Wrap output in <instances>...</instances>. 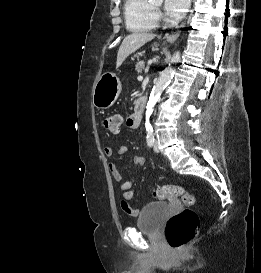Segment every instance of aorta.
Returning a JSON list of instances; mask_svg holds the SVG:
<instances>
[{
    "instance_id": "obj_1",
    "label": "aorta",
    "mask_w": 261,
    "mask_h": 273,
    "mask_svg": "<svg viewBox=\"0 0 261 273\" xmlns=\"http://www.w3.org/2000/svg\"><path fill=\"white\" fill-rule=\"evenodd\" d=\"M159 1H161V0H159ZM179 61H180V52H176V53L173 54V56L171 58V64H175V63H177ZM173 74H174V67L173 66L166 67L161 72L157 82L155 83V85H154V87H153V89L151 91L149 101H148L147 106H146V112H145V126H146V129H149L151 127L149 119H150V116L153 113L154 106H155L157 100L159 99L162 91L169 84Z\"/></svg>"
}]
</instances>
